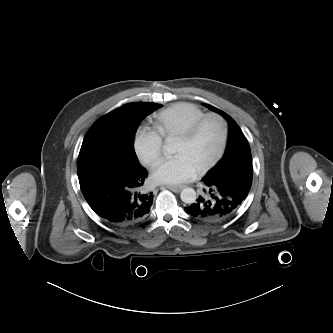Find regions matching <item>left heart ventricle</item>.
I'll return each mask as SVG.
<instances>
[{
  "label": "left heart ventricle",
  "instance_id": "b2bd125f",
  "mask_svg": "<svg viewBox=\"0 0 333 333\" xmlns=\"http://www.w3.org/2000/svg\"><path fill=\"white\" fill-rule=\"evenodd\" d=\"M222 137V128L215 119H209L200 127L196 135L188 141L177 138L174 153L184 154L199 169L217 152Z\"/></svg>",
  "mask_w": 333,
  "mask_h": 333
}]
</instances>
